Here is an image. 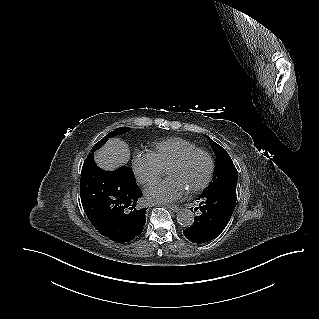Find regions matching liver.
<instances>
[{"instance_id": "6515ba94", "label": "liver", "mask_w": 319, "mask_h": 319, "mask_svg": "<svg viewBox=\"0 0 319 319\" xmlns=\"http://www.w3.org/2000/svg\"><path fill=\"white\" fill-rule=\"evenodd\" d=\"M129 159V147L119 138L109 140L101 150L95 153L96 163L104 170H114L126 164Z\"/></svg>"}]
</instances>
